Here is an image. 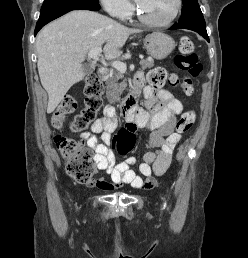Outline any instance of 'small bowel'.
<instances>
[{
    "instance_id": "1",
    "label": "small bowel",
    "mask_w": 248,
    "mask_h": 258,
    "mask_svg": "<svg viewBox=\"0 0 248 258\" xmlns=\"http://www.w3.org/2000/svg\"><path fill=\"white\" fill-rule=\"evenodd\" d=\"M141 78L139 89L143 87L145 106L148 111L137 108L129 119H126L125 128L134 136L138 129L149 131L147 147L156 148L143 155L139 164V172L133 168L136 164L134 157L115 163L114 153L109 147L111 134L117 128V117L111 106L104 108V115L95 120L90 132L81 134L88 147L94 151L95 168L105 171L111 182L99 179L91 185L103 191H111L123 185H130L134 190H155L158 180L150 177L163 175L171 163L174 148L181 140V135L175 131L177 116L183 111L182 103L171 92L152 85L144 86V77ZM101 134V141L96 137Z\"/></svg>"
}]
</instances>
